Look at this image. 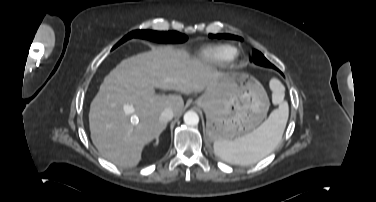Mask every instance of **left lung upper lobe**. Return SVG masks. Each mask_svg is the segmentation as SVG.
<instances>
[{"instance_id": "obj_1", "label": "left lung upper lobe", "mask_w": 376, "mask_h": 202, "mask_svg": "<svg viewBox=\"0 0 376 202\" xmlns=\"http://www.w3.org/2000/svg\"><path fill=\"white\" fill-rule=\"evenodd\" d=\"M209 37L210 38H217V39H231V40H242L241 37L239 36H235V35H230V34H217V35H213V34H209ZM252 60L255 64H258V65H261V66H265V67H271V68H274L276 69V67L270 63L264 56L261 52L257 51V50H253V57H252Z\"/></svg>"}]
</instances>
